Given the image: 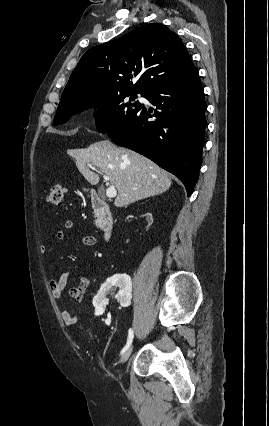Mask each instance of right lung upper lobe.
I'll use <instances>...</instances> for the list:
<instances>
[{
  "label": "right lung upper lobe",
  "instance_id": "1",
  "mask_svg": "<svg viewBox=\"0 0 269 426\" xmlns=\"http://www.w3.org/2000/svg\"><path fill=\"white\" fill-rule=\"evenodd\" d=\"M193 67L178 35L151 23L89 49L72 72L62 98L145 93Z\"/></svg>",
  "mask_w": 269,
  "mask_h": 426
}]
</instances>
